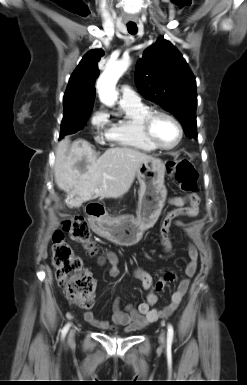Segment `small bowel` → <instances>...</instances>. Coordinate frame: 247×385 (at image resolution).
Instances as JSON below:
<instances>
[{
	"label": "small bowel",
	"mask_w": 247,
	"mask_h": 385,
	"mask_svg": "<svg viewBox=\"0 0 247 385\" xmlns=\"http://www.w3.org/2000/svg\"><path fill=\"white\" fill-rule=\"evenodd\" d=\"M168 203L177 207L179 210L184 211L181 216L195 217L199 213L200 200L199 197L195 195L171 197L168 199ZM176 225L184 227L185 223L178 221ZM188 255L190 260L185 267V276L173 293L170 302L163 308H153V305L157 302L158 293L163 290L168 282L174 279V273L167 272L155 282L152 276L144 269L141 267H134L132 269L134 277L140 280L144 289L149 291L147 300L141 303L137 308L129 304L123 310L120 306V299L116 298L113 302L112 324L96 317L91 311L85 313V320L100 329L116 330L118 326H123L125 327L126 332H134L161 318L169 317L181 303L190 285V280L197 269L198 252L193 245L189 246ZM104 257L110 264V277H117L120 273L118 268V256L112 251H106Z\"/></svg>",
	"instance_id": "c3829d8e"
}]
</instances>
